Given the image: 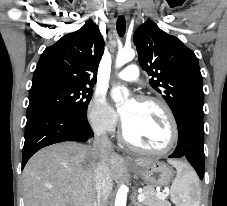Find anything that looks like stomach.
I'll list each match as a JSON object with an SVG mask.
<instances>
[{
    "instance_id": "1",
    "label": "stomach",
    "mask_w": 227,
    "mask_h": 206,
    "mask_svg": "<svg viewBox=\"0 0 227 206\" xmlns=\"http://www.w3.org/2000/svg\"><path fill=\"white\" fill-rule=\"evenodd\" d=\"M129 167L150 186L162 187L169 185L174 176L173 169L160 161H153L146 166H141L135 161Z\"/></svg>"
}]
</instances>
